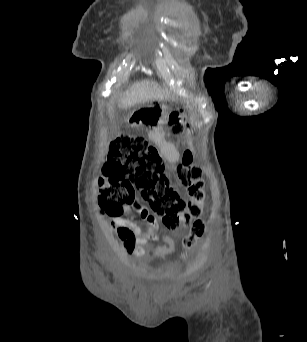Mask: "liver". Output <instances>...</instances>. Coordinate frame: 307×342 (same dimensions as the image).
<instances>
[{"mask_svg":"<svg viewBox=\"0 0 307 342\" xmlns=\"http://www.w3.org/2000/svg\"><path fill=\"white\" fill-rule=\"evenodd\" d=\"M169 98H173V94L169 90H164L158 82L141 80V82L132 84L129 90L125 92L123 98L120 100V106L123 110H128V108H133V106L142 104V102H149V100H169Z\"/></svg>","mask_w":307,"mask_h":342,"instance_id":"obj_1","label":"liver"}]
</instances>
